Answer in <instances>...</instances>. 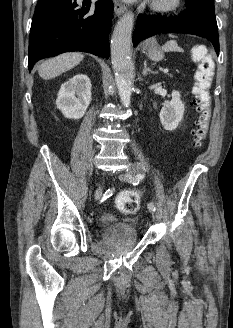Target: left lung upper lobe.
<instances>
[{"instance_id": "obj_1", "label": "left lung upper lobe", "mask_w": 233, "mask_h": 328, "mask_svg": "<svg viewBox=\"0 0 233 328\" xmlns=\"http://www.w3.org/2000/svg\"><path fill=\"white\" fill-rule=\"evenodd\" d=\"M195 1L203 3L211 8H214L213 0H195Z\"/></svg>"}]
</instances>
